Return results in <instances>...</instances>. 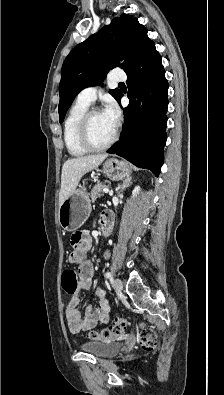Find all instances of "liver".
Here are the masks:
<instances>
[{"label":"liver","mask_w":224,"mask_h":395,"mask_svg":"<svg viewBox=\"0 0 224 395\" xmlns=\"http://www.w3.org/2000/svg\"><path fill=\"white\" fill-rule=\"evenodd\" d=\"M107 154L86 155L68 159L62 167L59 206L76 190L83 175L98 167Z\"/></svg>","instance_id":"6515ba94"}]
</instances>
